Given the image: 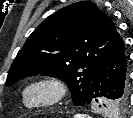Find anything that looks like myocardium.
Instances as JSON below:
<instances>
[{"label": "myocardium", "mask_w": 133, "mask_h": 118, "mask_svg": "<svg viewBox=\"0 0 133 118\" xmlns=\"http://www.w3.org/2000/svg\"><path fill=\"white\" fill-rule=\"evenodd\" d=\"M34 88H41L47 95L39 101L30 102L28 93ZM68 95V86L65 80L57 75H37L25 82L20 91L23 106L29 110L47 109L60 104Z\"/></svg>", "instance_id": "f54148a6"}]
</instances>
